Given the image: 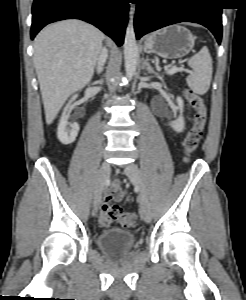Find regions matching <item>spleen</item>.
<instances>
[{"label": "spleen", "instance_id": "1", "mask_svg": "<svg viewBox=\"0 0 246 300\" xmlns=\"http://www.w3.org/2000/svg\"><path fill=\"white\" fill-rule=\"evenodd\" d=\"M188 65L193 69L186 81L190 89L204 95L210 88L212 79V58L207 47H203L197 54L188 60Z\"/></svg>", "mask_w": 246, "mask_h": 300}]
</instances>
